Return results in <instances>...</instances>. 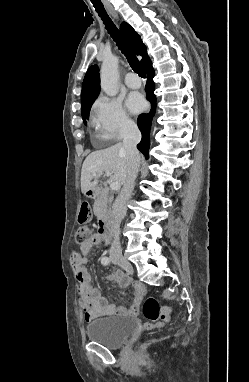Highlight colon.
<instances>
[{
  "mask_svg": "<svg viewBox=\"0 0 249 382\" xmlns=\"http://www.w3.org/2000/svg\"><path fill=\"white\" fill-rule=\"evenodd\" d=\"M90 216V206L88 203H83L79 212V222L81 226L75 233V240L78 244H84L90 238V229L86 225ZM142 312L147 322L145 323L146 329H151L155 326H161L163 323L168 322L171 310L168 307L161 308L157 299L153 296L145 298L142 304Z\"/></svg>",
  "mask_w": 249,
  "mask_h": 382,
  "instance_id": "5ec220e1",
  "label": "colon"
}]
</instances>
